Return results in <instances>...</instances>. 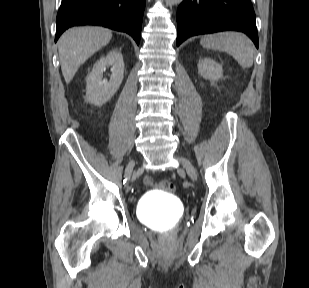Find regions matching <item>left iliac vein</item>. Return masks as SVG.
<instances>
[{"label":"left iliac vein","mask_w":309,"mask_h":288,"mask_svg":"<svg viewBox=\"0 0 309 288\" xmlns=\"http://www.w3.org/2000/svg\"><path fill=\"white\" fill-rule=\"evenodd\" d=\"M179 161L181 162L183 168L187 171L188 175L191 179L196 180L197 179V172L192 163L183 157H178Z\"/></svg>","instance_id":"4c4485c4"}]
</instances>
